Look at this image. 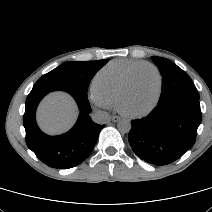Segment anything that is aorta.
Returning a JSON list of instances; mask_svg holds the SVG:
<instances>
[{
  "label": "aorta",
  "instance_id": "1",
  "mask_svg": "<svg viewBox=\"0 0 212 212\" xmlns=\"http://www.w3.org/2000/svg\"><path fill=\"white\" fill-rule=\"evenodd\" d=\"M117 128L121 133H128L131 129V123L129 120H121L118 122Z\"/></svg>",
  "mask_w": 212,
  "mask_h": 212
}]
</instances>
